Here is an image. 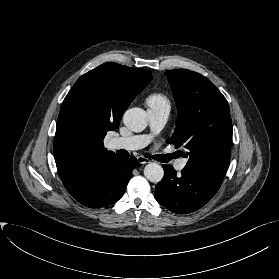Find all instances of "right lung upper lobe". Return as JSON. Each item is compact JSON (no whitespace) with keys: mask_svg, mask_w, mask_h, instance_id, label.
<instances>
[{"mask_svg":"<svg viewBox=\"0 0 279 279\" xmlns=\"http://www.w3.org/2000/svg\"><path fill=\"white\" fill-rule=\"evenodd\" d=\"M148 70L104 63L82 75L65 97L54 138V158L66 181L86 164L117 155L103 140L118 128L130 103L151 81Z\"/></svg>","mask_w":279,"mask_h":279,"instance_id":"1","label":"right lung upper lobe"}]
</instances>
